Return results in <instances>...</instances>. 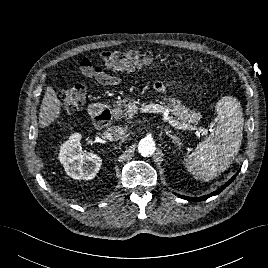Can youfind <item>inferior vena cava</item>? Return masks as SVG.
<instances>
[{
    "label": "inferior vena cava",
    "instance_id": "obj_1",
    "mask_svg": "<svg viewBox=\"0 0 268 268\" xmlns=\"http://www.w3.org/2000/svg\"><path fill=\"white\" fill-rule=\"evenodd\" d=\"M124 133V128L119 126H111L105 131L104 134L108 140H119L123 137Z\"/></svg>",
    "mask_w": 268,
    "mask_h": 268
}]
</instances>
